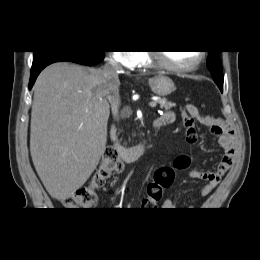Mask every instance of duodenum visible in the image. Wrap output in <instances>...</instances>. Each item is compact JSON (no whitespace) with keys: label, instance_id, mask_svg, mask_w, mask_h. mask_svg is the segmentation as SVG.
Instances as JSON below:
<instances>
[{"label":"duodenum","instance_id":"duodenum-1","mask_svg":"<svg viewBox=\"0 0 260 260\" xmlns=\"http://www.w3.org/2000/svg\"><path fill=\"white\" fill-rule=\"evenodd\" d=\"M162 126L161 121L158 119L154 122V127L159 128ZM111 134V140L113 142L112 149L117 153V155L126 162H131L139 157L145 155L149 150V143L146 141L140 142L133 146H123L118 143L117 137H116V130L114 127L111 128L110 131Z\"/></svg>","mask_w":260,"mask_h":260}]
</instances>
